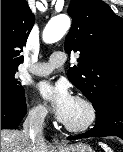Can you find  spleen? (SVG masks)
<instances>
[{
    "instance_id": "3e777b00",
    "label": "spleen",
    "mask_w": 123,
    "mask_h": 152,
    "mask_svg": "<svg viewBox=\"0 0 123 152\" xmlns=\"http://www.w3.org/2000/svg\"><path fill=\"white\" fill-rule=\"evenodd\" d=\"M100 145H101V147L104 149L105 152H112L111 148L108 147L107 145H105V144H103V143H101Z\"/></svg>"
}]
</instances>
